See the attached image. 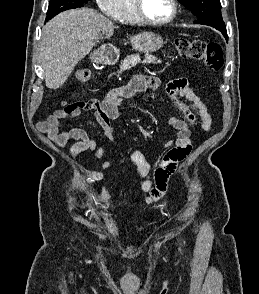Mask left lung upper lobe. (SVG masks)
<instances>
[{
  "label": "left lung upper lobe",
  "mask_w": 259,
  "mask_h": 294,
  "mask_svg": "<svg viewBox=\"0 0 259 294\" xmlns=\"http://www.w3.org/2000/svg\"><path fill=\"white\" fill-rule=\"evenodd\" d=\"M189 9L199 20L195 23L212 26L216 29L225 28L221 15L220 0H178Z\"/></svg>",
  "instance_id": "left-lung-upper-lobe-1"
}]
</instances>
